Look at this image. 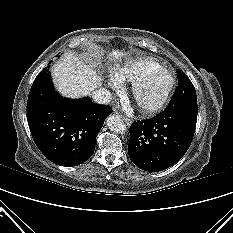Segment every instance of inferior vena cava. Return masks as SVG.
Returning <instances> with one entry per match:
<instances>
[{"mask_svg":"<svg viewBox=\"0 0 233 233\" xmlns=\"http://www.w3.org/2000/svg\"><path fill=\"white\" fill-rule=\"evenodd\" d=\"M92 99L98 104H108L112 99V94L109 90L101 88L92 93Z\"/></svg>","mask_w":233,"mask_h":233,"instance_id":"602c4592","label":"inferior vena cava"}]
</instances>
